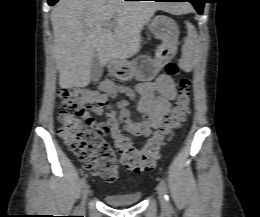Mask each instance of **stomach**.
I'll return each mask as SVG.
<instances>
[{
  "label": "stomach",
  "instance_id": "1",
  "mask_svg": "<svg viewBox=\"0 0 260 217\" xmlns=\"http://www.w3.org/2000/svg\"><path fill=\"white\" fill-rule=\"evenodd\" d=\"M151 32L162 41L155 51V57H141L134 61L119 60L112 63L113 74L119 79L134 77L141 82L152 81L161 68L168 63L177 52L178 27L169 17L158 15L150 23Z\"/></svg>",
  "mask_w": 260,
  "mask_h": 217
}]
</instances>
